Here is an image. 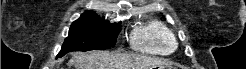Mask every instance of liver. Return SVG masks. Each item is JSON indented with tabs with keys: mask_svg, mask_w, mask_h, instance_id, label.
I'll return each instance as SVG.
<instances>
[{
	"mask_svg": "<svg viewBox=\"0 0 246 69\" xmlns=\"http://www.w3.org/2000/svg\"><path fill=\"white\" fill-rule=\"evenodd\" d=\"M76 69H149L164 65L159 59L109 52L75 53L70 60Z\"/></svg>",
	"mask_w": 246,
	"mask_h": 69,
	"instance_id": "liver-1",
	"label": "liver"
}]
</instances>
